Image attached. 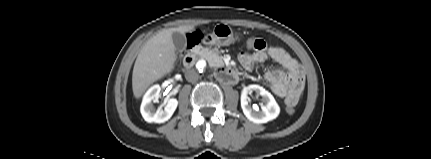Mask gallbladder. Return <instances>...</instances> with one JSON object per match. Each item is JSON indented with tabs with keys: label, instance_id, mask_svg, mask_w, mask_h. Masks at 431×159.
Segmentation results:
<instances>
[{
	"label": "gallbladder",
	"instance_id": "bac80fb5",
	"mask_svg": "<svg viewBox=\"0 0 431 159\" xmlns=\"http://www.w3.org/2000/svg\"><path fill=\"white\" fill-rule=\"evenodd\" d=\"M173 43L178 51H183L186 48L187 42L183 34L174 32L172 35Z\"/></svg>",
	"mask_w": 431,
	"mask_h": 159
}]
</instances>
